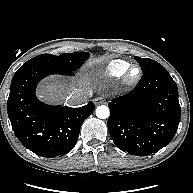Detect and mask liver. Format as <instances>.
Wrapping results in <instances>:
<instances>
[{"mask_svg":"<svg viewBox=\"0 0 193 193\" xmlns=\"http://www.w3.org/2000/svg\"><path fill=\"white\" fill-rule=\"evenodd\" d=\"M91 85L92 84L89 79L66 83L63 78L51 76L41 82L37 90V96L42 101L55 103L66 99L71 93L77 90H82L84 94L91 97Z\"/></svg>","mask_w":193,"mask_h":193,"instance_id":"1","label":"liver"}]
</instances>
